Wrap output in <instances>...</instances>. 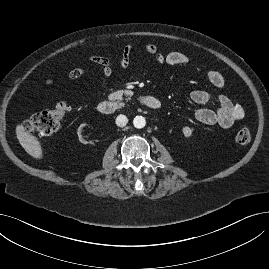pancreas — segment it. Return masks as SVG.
Wrapping results in <instances>:
<instances>
[{
    "label": "pancreas",
    "mask_w": 269,
    "mask_h": 269,
    "mask_svg": "<svg viewBox=\"0 0 269 269\" xmlns=\"http://www.w3.org/2000/svg\"><path fill=\"white\" fill-rule=\"evenodd\" d=\"M133 92L130 90H118L115 92H112L109 95V99L111 100H122L123 96H128V98L126 99L127 101L131 99V96H133Z\"/></svg>",
    "instance_id": "cf45deb5"
}]
</instances>
